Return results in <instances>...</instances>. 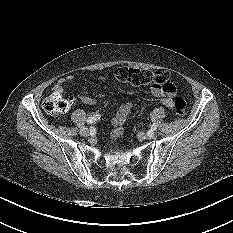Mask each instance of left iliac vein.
I'll return each mask as SVG.
<instances>
[{
	"instance_id": "4c4485c4",
	"label": "left iliac vein",
	"mask_w": 233,
	"mask_h": 233,
	"mask_svg": "<svg viewBox=\"0 0 233 233\" xmlns=\"http://www.w3.org/2000/svg\"><path fill=\"white\" fill-rule=\"evenodd\" d=\"M138 137L141 139H153L155 137V132L150 130L147 133H139Z\"/></svg>"
}]
</instances>
